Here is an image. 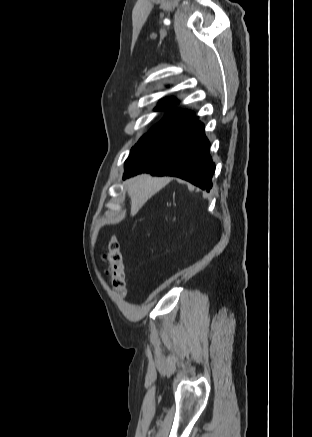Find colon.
I'll return each instance as SVG.
<instances>
[{
  "instance_id": "obj_1",
  "label": "colon",
  "mask_w": 312,
  "mask_h": 437,
  "mask_svg": "<svg viewBox=\"0 0 312 437\" xmlns=\"http://www.w3.org/2000/svg\"><path fill=\"white\" fill-rule=\"evenodd\" d=\"M103 259L108 263L106 274L109 277L111 289L120 297H124L127 292L128 277L124 255L117 239L109 240Z\"/></svg>"
}]
</instances>
